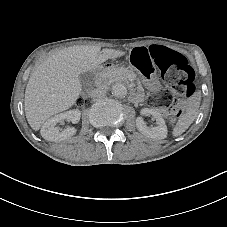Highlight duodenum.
<instances>
[{"label": "duodenum", "mask_w": 227, "mask_h": 227, "mask_svg": "<svg viewBox=\"0 0 227 227\" xmlns=\"http://www.w3.org/2000/svg\"><path fill=\"white\" fill-rule=\"evenodd\" d=\"M113 67V65H107V68L109 69V68H112Z\"/></svg>", "instance_id": "410a0bca"}]
</instances>
